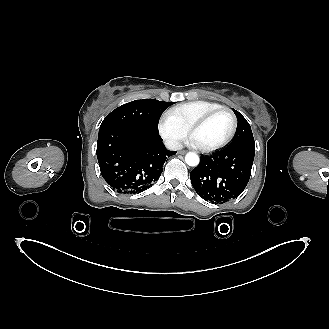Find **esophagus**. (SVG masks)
<instances>
[{"label": "esophagus", "mask_w": 329, "mask_h": 329, "mask_svg": "<svg viewBox=\"0 0 329 329\" xmlns=\"http://www.w3.org/2000/svg\"><path fill=\"white\" fill-rule=\"evenodd\" d=\"M186 152H187L186 150H181L178 153L184 155V154H186Z\"/></svg>", "instance_id": "34e87169"}]
</instances>
